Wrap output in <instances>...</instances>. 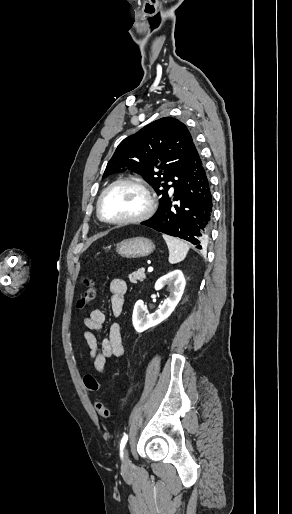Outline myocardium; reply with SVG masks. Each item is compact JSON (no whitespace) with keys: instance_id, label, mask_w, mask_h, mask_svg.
<instances>
[{"instance_id":"obj_1","label":"myocardium","mask_w":292,"mask_h":514,"mask_svg":"<svg viewBox=\"0 0 292 514\" xmlns=\"http://www.w3.org/2000/svg\"><path fill=\"white\" fill-rule=\"evenodd\" d=\"M122 185L134 186V187L138 188L145 196V201H146L145 207L140 213H138L134 216L128 217V218L117 219V220L106 219L102 214V209H101L102 201H103L105 195L110 190H112L115 187L122 186ZM153 211H154L153 196H152L150 190L148 189L147 185L142 180L137 179V178H126V179H120V180L114 181L113 183L108 185L102 191V193L100 194V196L97 200V215L101 221L108 223V224L128 225V224L137 223V222L147 219L153 213Z\"/></svg>"}]
</instances>
